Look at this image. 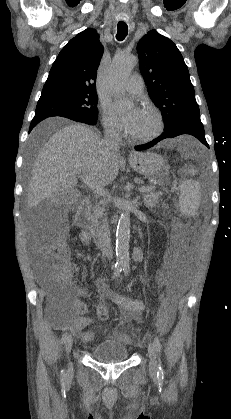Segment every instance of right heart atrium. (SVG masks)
I'll list each match as a JSON object with an SVG mask.
<instances>
[{
    "instance_id": "1",
    "label": "right heart atrium",
    "mask_w": 231,
    "mask_h": 419,
    "mask_svg": "<svg viewBox=\"0 0 231 419\" xmlns=\"http://www.w3.org/2000/svg\"><path fill=\"white\" fill-rule=\"evenodd\" d=\"M101 117L103 127L108 134L119 135L121 133V127L117 120L113 117L107 104H103L101 106Z\"/></svg>"
}]
</instances>
